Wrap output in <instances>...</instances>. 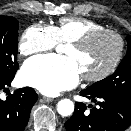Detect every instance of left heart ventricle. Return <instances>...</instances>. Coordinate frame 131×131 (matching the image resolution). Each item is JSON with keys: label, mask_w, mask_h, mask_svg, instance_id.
I'll use <instances>...</instances> for the list:
<instances>
[{"label": "left heart ventricle", "mask_w": 131, "mask_h": 131, "mask_svg": "<svg viewBox=\"0 0 131 131\" xmlns=\"http://www.w3.org/2000/svg\"><path fill=\"white\" fill-rule=\"evenodd\" d=\"M118 48L117 40L110 35H101L84 47L68 45L67 57L75 60L82 74L94 75L106 69L114 59Z\"/></svg>", "instance_id": "b2bd125f"}]
</instances>
